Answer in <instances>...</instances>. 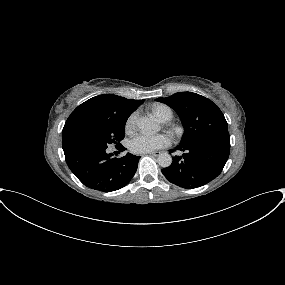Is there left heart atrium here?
I'll return each mask as SVG.
<instances>
[{"mask_svg":"<svg viewBox=\"0 0 285 285\" xmlns=\"http://www.w3.org/2000/svg\"><path fill=\"white\" fill-rule=\"evenodd\" d=\"M168 144L169 139L163 134L149 135L141 133L130 141L129 148L134 153L144 154L151 153Z\"/></svg>","mask_w":285,"mask_h":285,"instance_id":"1","label":"left heart atrium"}]
</instances>
